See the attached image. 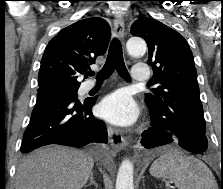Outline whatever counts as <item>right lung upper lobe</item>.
<instances>
[{
	"mask_svg": "<svg viewBox=\"0 0 223 189\" xmlns=\"http://www.w3.org/2000/svg\"><path fill=\"white\" fill-rule=\"evenodd\" d=\"M110 26L100 17L79 20L61 30L47 45L38 74V93L78 89L77 78L90 70L110 40Z\"/></svg>",
	"mask_w": 223,
	"mask_h": 189,
	"instance_id": "1",
	"label": "right lung upper lobe"
}]
</instances>
